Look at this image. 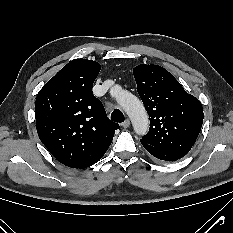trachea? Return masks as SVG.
Here are the masks:
<instances>
[{
	"label": "trachea",
	"mask_w": 233,
	"mask_h": 233,
	"mask_svg": "<svg viewBox=\"0 0 233 233\" xmlns=\"http://www.w3.org/2000/svg\"><path fill=\"white\" fill-rule=\"evenodd\" d=\"M111 120L121 123L124 122L125 118L123 113L119 109H115L111 114Z\"/></svg>",
	"instance_id": "1"
}]
</instances>
